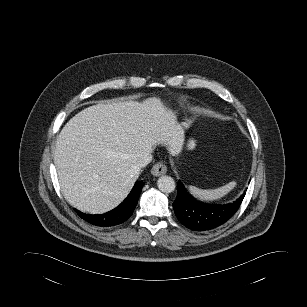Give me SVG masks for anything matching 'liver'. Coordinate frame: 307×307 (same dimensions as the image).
Instances as JSON below:
<instances>
[{
  "label": "liver",
  "instance_id": "obj_1",
  "mask_svg": "<svg viewBox=\"0 0 307 307\" xmlns=\"http://www.w3.org/2000/svg\"><path fill=\"white\" fill-rule=\"evenodd\" d=\"M184 131L160 99L90 106L61 130L54 151L61 191L80 211L101 214L120 204L140 171L138 160L157 144L181 151Z\"/></svg>",
  "mask_w": 307,
  "mask_h": 307
}]
</instances>
